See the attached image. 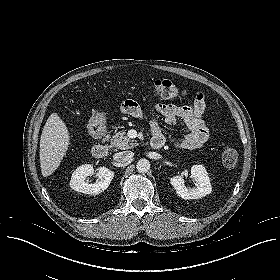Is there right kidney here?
Listing matches in <instances>:
<instances>
[{
	"mask_svg": "<svg viewBox=\"0 0 280 280\" xmlns=\"http://www.w3.org/2000/svg\"><path fill=\"white\" fill-rule=\"evenodd\" d=\"M97 172L98 180L95 183H88L85 180L87 177L94 174V169L91 164L79 166L71 176L70 187L84 194L97 195L105 191L111 183L114 172L106 167H99Z\"/></svg>",
	"mask_w": 280,
	"mask_h": 280,
	"instance_id": "ca27d5eb",
	"label": "right kidney"
}]
</instances>
